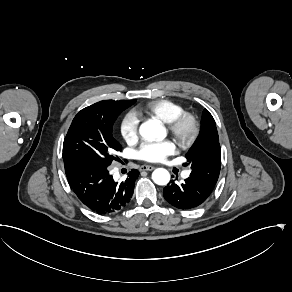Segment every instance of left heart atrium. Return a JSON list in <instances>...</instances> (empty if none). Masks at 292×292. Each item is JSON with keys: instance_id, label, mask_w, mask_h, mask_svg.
Instances as JSON below:
<instances>
[{"instance_id": "obj_1", "label": "left heart atrium", "mask_w": 292, "mask_h": 292, "mask_svg": "<svg viewBox=\"0 0 292 292\" xmlns=\"http://www.w3.org/2000/svg\"><path fill=\"white\" fill-rule=\"evenodd\" d=\"M177 147L170 140L150 141L142 145L138 157L147 162H162L168 156L176 153Z\"/></svg>"}]
</instances>
